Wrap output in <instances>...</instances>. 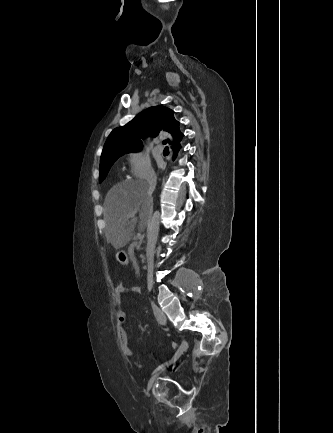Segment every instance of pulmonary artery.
<instances>
[{"instance_id": "obj_1", "label": "pulmonary artery", "mask_w": 333, "mask_h": 433, "mask_svg": "<svg viewBox=\"0 0 333 433\" xmlns=\"http://www.w3.org/2000/svg\"><path fill=\"white\" fill-rule=\"evenodd\" d=\"M156 151H157L159 154L163 153V146L160 145V144H158V145L156 146Z\"/></svg>"}]
</instances>
